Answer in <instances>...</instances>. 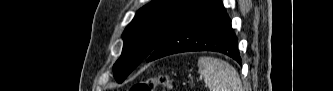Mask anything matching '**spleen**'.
I'll use <instances>...</instances> for the list:
<instances>
[{
  "instance_id": "3e777b00",
  "label": "spleen",
  "mask_w": 333,
  "mask_h": 91,
  "mask_svg": "<svg viewBox=\"0 0 333 91\" xmlns=\"http://www.w3.org/2000/svg\"><path fill=\"white\" fill-rule=\"evenodd\" d=\"M198 72L210 91H243L239 74L222 59L206 56L199 58Z\"/></svg>"
}]
</instances>
